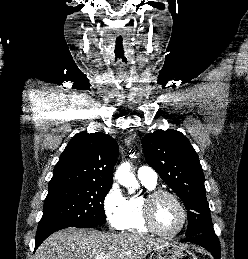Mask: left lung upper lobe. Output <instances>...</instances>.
<instances>
[{"label":"left lung upper lobe","mask_w":248,"mask_h":259,"mask_svg":"<svg viewBox=\"0 0 248 259\" xmlns=\"http://www.w3.org/2000/svg\"><path fill=\"white\" fill-rule=\"evenodd\" d=\"M142 146L148 164L188 210L186 237L214 233L202 167L189 140L173 129L157 130L143 137Z\"/></svg>","instance_id":"left-lung-upper-lobe-1"}]
</instances>
